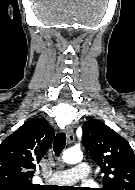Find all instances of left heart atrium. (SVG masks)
Returning <instances> with one entry per match:
<instances>
[{
	"label": "left heart atrium",
	"mask_w": 135,
	"mask_h": 190,
	"mask_svg": "<svg viewBox=\"0 0 135 190\" xmlns=\"http://www.w3.org/2000/svg\"><path fill=\"white\" fill-rule=\"evenodd\" d=\"M69 190H77V189H69Z\"/></svg>",
	"instance_id": "1"
}]
</instances>
